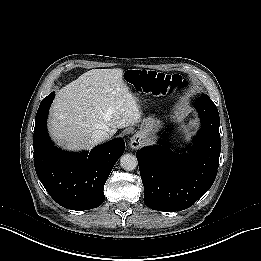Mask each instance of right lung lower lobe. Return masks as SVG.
<instances>
[{
  "label": "right lung lower lobe",
  "mask_w": 261,
  "mask_h": 261,
  "mask_svg": "<svg viewBox=\"0 0 261 261\" xmlns=\"http://www.w3.org/2000/svg\"><path fill=\"white\" fill-rule=\"evenodd\" d=\"M52 92L45 97L35 117L34 165L37 176L55 202L82 211L100 206L104 184L125 150L122 138L113 139L93 150L69 153L55 147L47 134L46 119Z\"/></svg>",
  "instance_id": "1"
}]
</instances>
